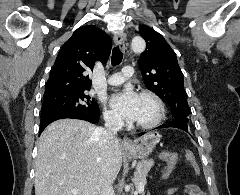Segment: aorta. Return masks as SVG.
I'll list each match as a JSON object with an SVG mask.
<instances>
[{
  "label": "aorta",
  "mask_w": 240,
  "mask_h": 195,
  "mask_svg": "<svg viewBox=\"0 0 240 195\" xmlns=\"http://www.w3.org/2000/svg\"><path fill=\"white\" fill-rule=\"evenodd\" d=\"M145 46L146 44L142 38H133L131 48L135 54H138V52H144Z\"/></svg>",
  "instance_id": "762f6f07"
}]
</instances>
